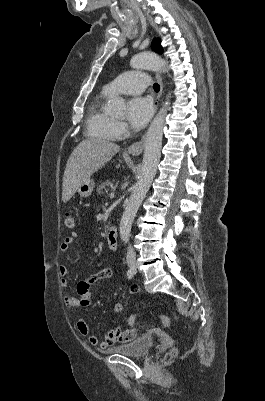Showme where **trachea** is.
Segmentation results:
<instances>
[{
	"label": "trachea",
	"mask_w": 265,
	"mask_h": 401,
	"mask_svg": "<svg viewBox=\"0 0 265 401\" xmlns=\"http://www.w3.org/2000/svg\"><path fill=\"white\" fill-rule=\"evenodd\" d=\"M153 88H154V91H155L156 93H158L159 90H160V86L158 85V83H154Z\"/></svg>",
	"instance_id": "obj_1"
}]
</instances>
